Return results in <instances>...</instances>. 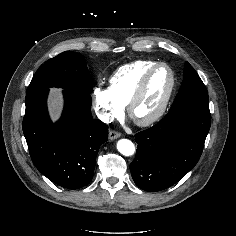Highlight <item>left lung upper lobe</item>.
Returning <instances> with one entry per match:
<instances>
[{
	"instance_id": "1",
	"label": "left lung upper lobe",
	"mask_w": 236,
	"mask_h": 236,
	"mask_svg": "<svg viewBox=\"0 0 236 236\" xmlns=\"http://www.w3.org/2000/svg\"><path fill=\"white\" fill-rule=\"evenodd\" d=\"M183 107L209 110V98L206 87L188 62L185 63L184 79L170 110Z\"/></svg>"
}]
</instances>
